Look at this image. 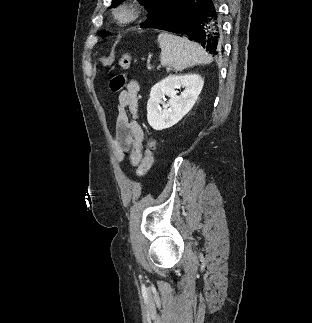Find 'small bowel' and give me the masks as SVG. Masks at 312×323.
<instances>
[{
    "instance_id": "c3829d8e",
    "label": "small bowel",
    "mask_w": 312,
    "mask_h": 323,
    "mask_svg": "<svg viewBox=\"0 0 312 323\" xmlns=\"http://www.w3.org/2000/svg\"><path fill=\"white\" fill-rule=\"evenodd\" d=\"M140 85L130 80L117 99L118 113L115 120L112 150L119 163L129 162L138 166L143 159L144 132L138 120V94Z\"/></svg>"
}]
</instances>
